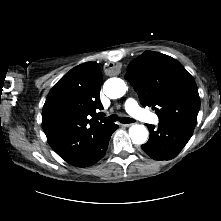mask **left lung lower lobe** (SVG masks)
Masks as SVG:
<instances>
[{"label":"left lung lower lobe","instance_id":"0a47b994","mask_svg":"<svg viewBox=\"0 0 221 221\" xmlns=\"http://www.w3.org/2000/svg\"><path fill=\"white\" fill-rule=\"evenodd\" d=\"M194 128L195 124L185 123L159 122L157 129L154 125H148L150 137L141 148L155 160H170L187 144Z\"/></svg>","mask_w":221,"mask_h":221}]
</instances>
